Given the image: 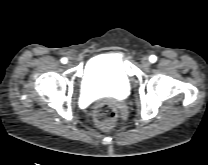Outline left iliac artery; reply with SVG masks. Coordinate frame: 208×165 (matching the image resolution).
<instances>
[{"label":"left iliac artery","mask_w":208,"mask_h":165,"mask_svg":"<svg viewBox=\"0 0 208 165\" xmlns=\"http://www.w3.org/2000/svg\"><path fill=\"white\" fill-rule=\"evenodd\" d=\"M149 60L154 63L157 60V57L155 55H151Z\"/></svg>","instance_id":"left-iliac-artery-1"}]
</instances>
